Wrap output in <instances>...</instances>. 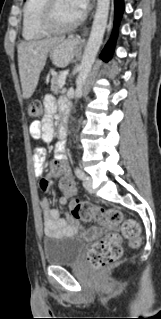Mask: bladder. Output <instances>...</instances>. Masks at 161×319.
Returning a JSON list of instances; mask_svg holds the SVG:
<instances>
[{
	"instance_id": "1",
	"label": "bladder",
	"mask_w": 161,
	"mask_h": 319,
	"mask_svg": "<svg viewBox=\"0 0 161 319\" xmlns=\"http://www.w3.org/2000/svg\"><path fill=\"white\" fill-rule=\"evenodd\" d=\"M85 242L76 235L46 236L43 240L44 263L68 266L77 263L83 256Z\"/></svg>"
}]
</instances>
